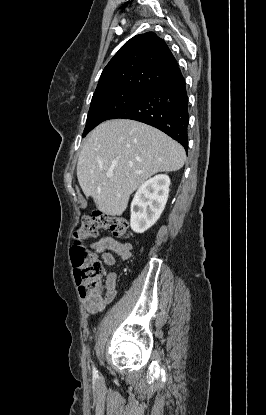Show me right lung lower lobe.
Instances as JSON below:
<instances>
[{
  "mask_svg": "<svg viewBox=\"0 0 266 415\" xmlns=\"http://www.w3.org/2000/svg\"><path fill=\"white\" fill-rule=\"evenodd\" d=\"M123 118L156 127L188 150V96L182 74L165 81L141 100L114 114L110 119Z\"/></svg>",
  "mask_w": 266,
  "mask_h": 415,
  "instance_id": "obj_1",
  "label": "right lung lower lobe"
}]
</instances>
